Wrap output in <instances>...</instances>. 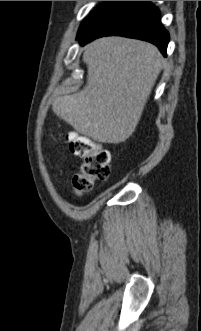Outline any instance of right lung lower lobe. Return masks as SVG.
<instances>
[{
    "instance_id": "right-lung-lower-lobe-1",
    "label": "right lung lower lobe",
    "mask_w": 201,
    "mask_h": 331,
    "mask_svg": "<svg viewBox=\"0 0 201 331\" xmlns=\"http://www.w3.org/2000/svg\"><path fill=\"white\" fill-rule=\"evenodd\" d=\"M150 1H116L88 30L77 35L81 45L102 36L118 35L153 43L166 56L169 33Z\"/></svg>"
}]
</instances>
